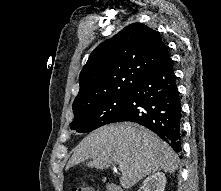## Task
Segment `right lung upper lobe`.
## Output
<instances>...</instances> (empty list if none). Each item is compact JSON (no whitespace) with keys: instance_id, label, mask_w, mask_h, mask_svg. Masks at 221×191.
I'll list each match as a JSON object with an SVG mask.
<instances>
[{"instance_id":"right-lung-upper-lobe-1","label":"right lung upper lobe","mask_w":221,"mask_h":191,"mask_svg":"<svg viewBox=\"0 0 221 191\" xmlns=\"http://www.w3.org/2000/svg\"><path fill=\"white\" fill-rule=\"evenodd\" d=\"M168 56L158 32L143 23L128 25L89 56L80 72V90L73 102V112L132 91Z\"/></svg>"}]
</instances>
